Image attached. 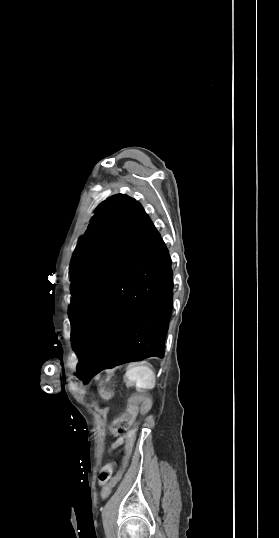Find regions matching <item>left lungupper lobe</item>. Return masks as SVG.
<instances>
[{
  "instance_id": "obj_1",
  "label": "left lung upper lobe",
  "mask_w": 279,
  "mask_h": 538,
  "mask_svg": "<svg viewBox=\"0 0 279 538\" xmlns=\"http://www.w3.org/2000/svg\"><path fill=\"white\" fill-rule=\"evenodd\" d=\"M96 213L70 264L72 329L84 319L153 227L141 204L126 195L108 198Z\"/></svg>"
}]
</instances>
